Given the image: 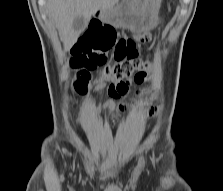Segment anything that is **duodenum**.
I'll list each match as a JSON object with an SVG mask.
<instances>
[{"label":"duodenum","instance_id":"410a0bca","mask_svg":"<svg viewBox=\"0 0 223 191\" xmlns=\"http://www.w3.org/2000/svg\"><path fill=\"white\" fill-rule=\"evenodd\" d=\"M102 12V8H97L95 11V16H99Z\"/></svg>","mask_w":223,"mask_h":191}]
</instances>
